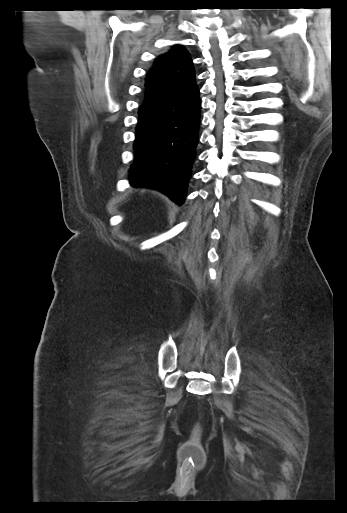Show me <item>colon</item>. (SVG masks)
Masks as SVG:
<instances>
[{
    "label": "colon",
    "mask_w": 347,
    "mask_h": 513,
    "mask_svg": "<svg viewBox=\"0 0 347 513\" xmlns=\"http://www.w3.org/2000/svg\"><path fill=\"white\" fill-rule=\"evenodd\" d=\"M199 438L200 431L196 429L191 439L182 448L181 460L185 469L200 467L204 463L205 456Z\"/></svg>",
    "instance_id": "colon-1"
}]
</instances>
